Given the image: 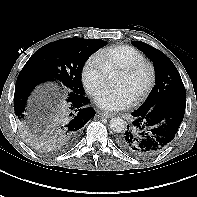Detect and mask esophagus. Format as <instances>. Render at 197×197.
<instances>
[{
  "instance_id": "1",
  "label": "esophagus",
  "mask_w": 197,
  "mask_h": 197,
  "mask_svg": "<svg viewBox=\"0 0 197 197\" xmlns=\"http://www.w3.org/2000/svg\"><path fill=\"white\" fill-rule=\"evenodd\" d=\"M99 116H101L102 118H111L114 116L113 113H110V112H99L98 113Z\"/></svg>"
}]
</instances>
